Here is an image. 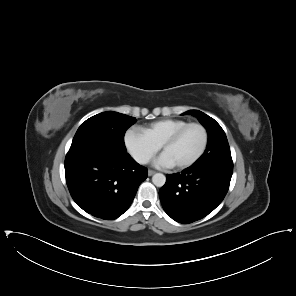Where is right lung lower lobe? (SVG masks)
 <instances>
[{
  "mask_svg": "<svg viewBox=\"0 0 296 296\" xmlns=\"http://www.w3.org/2000/svg\"><path fill=\"white\" fill-rule=\"evenodd\" d=\"M66 183L73 200L85 212L105 220L130 206L147 169L125 152L100 144L71 145L65 159Z\"/></svg>",
  "mask_w": 296,
  "mask_h": 296,
  "instance_id": "98d812e1",
  "label": "right lung lower lobe"
}]
</instances>
